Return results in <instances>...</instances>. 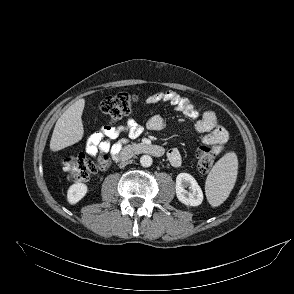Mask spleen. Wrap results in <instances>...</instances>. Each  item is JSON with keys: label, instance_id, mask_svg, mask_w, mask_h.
Wrapping results in <instances>:
<instances>
[{"label": "spleen", "instance_id": "3e777b00", "mask_svg": "<svg viewBox=\"0 0 294 294\" xmlns=\"http://www.w3.org/2000/svg\"><path fill=\"white\" fill-rule=\"evenodd\" d=\"M238 160L235 153H227L211 169L206 179V195L209 203L219 206L229 196L237 178Z\"/></svg>", "mask_w": 294, "mask_h": 294}]
</instances>
